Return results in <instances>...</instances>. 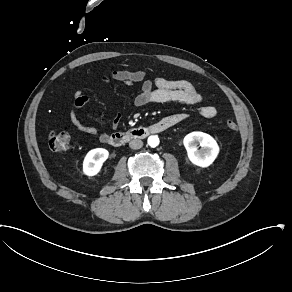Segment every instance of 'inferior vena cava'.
I'll return each mask as SVG.
<instances>
[{
    "label": "inferior vena cava",
    "mask_w": 292,
    "mask_h": 292,
    "mask_svg": "<svg viewBox=\"0 0 292 292\" xmlns=\"http://www.w3.org/2000/svg\"><path fill=\"white\" fill-rule=\"evenodd\" d=\"M143 146V142L139 139L131 140L129 142V147L131 149H140Z\"/></svg>",
    "instance_id": "602c4592"
}]
</instances>
